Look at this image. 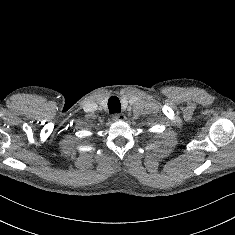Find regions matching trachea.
<instances>
[{
    "label": "trachea",
    "mask_w": 235,
    "mask_h": 235,
    "mask_svg": "<svg viewBox=\"0 0 235 235\" xmlns=\"http://www.w3.org/2000/svg\"><path fill=\"white\" fill-rule=\"evenodd\" d=\"M108 108L110 113H119L121 112V103L118 97L112 96L108 100Z\"/></svg>",
    "instance_id": "1"
}]
</instances>
